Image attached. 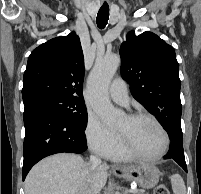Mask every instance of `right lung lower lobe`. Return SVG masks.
<instances>
[{
  "instance_id": "obj_1",
  "label": "right lung lower lobe",
  "mask_w": 201,
  "mask_h": 194,
  "mask_svg": "<svg viewBox=\"0 0 201 194\" xmlns=\"http://www.w3.org/2000/svg\"><path fill=\"white\" fill-rule=\"evenodd\" d=\"M24 162L22 177L42 158L62 152L82 153L87 149L81 131L60 113L39 105H25Z\"/></svg>"
}]
</instances>
